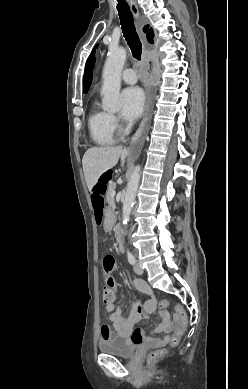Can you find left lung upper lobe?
<instances>
[{
    "label": "left lung upper lobe",
    "instance_id": "1",
    "mask_svg": "<svg viewBox=\"0 0 248 389\" xmlns=\"http://www.w3.org/2000/svg\"><path fill=\"white\" fill-rule=\"evenodd\" d=\"M98 45L95 46L97 48ZM95 48L92 50L90 56L87 59L86 66H85V72L83 77V91L84 93H87V91L90 88L91 81H92V70L94 67L95 62Z\"/></svg>",
    "mask_w": 248,
    "mask_h": 389
}]
</instances>
